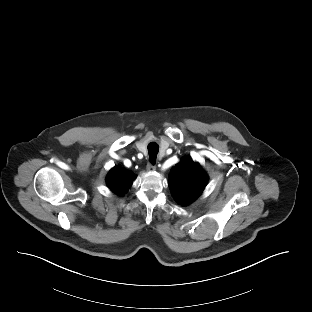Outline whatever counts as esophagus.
I'll return each instance as SVG.
<instances>
[{
    "mask_svg": "<svg viewBox=\"0 0 312 312\" xmlns=\"http://www.w3.org/2000/svg\"><path fill=\"white\" fill-rule=\"evenodd\" d=\"M146 169L147 171L152 172L156 170V166L153 165L152 163H148Z\"/></svg>",
    "mask_w": 312,
    "mask_h": 312,
    "instance_id": "1",
    "label": "esophagus"
}]
</instances>
